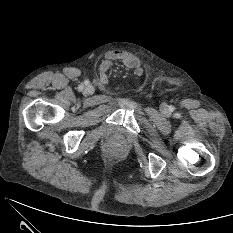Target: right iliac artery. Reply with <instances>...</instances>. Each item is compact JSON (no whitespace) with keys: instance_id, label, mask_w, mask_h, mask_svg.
Segmentation results:
<instances>
[{"instance_id":"right-iliac-artery-1","label":"right iliac artery","mask_w":233,"mask_h":233,"mask_svg":"<svg viewBox=\"0 0 233 233\" xmlns=\"http://www.w3.org/2000/svg\"><path fill=\"white\" fill-rule=\"evenodd\" d=\"M83 88H84V85L79 86V90H83Z\"/></svg>"}]
</instances>
